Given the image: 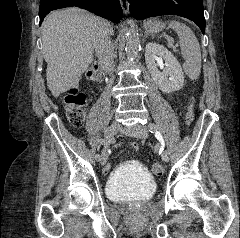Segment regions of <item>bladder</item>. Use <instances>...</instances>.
I'll use <instances>...</instances> for the list:
<instances>
[{"mask_svg":"<svg viewBox=\"0 0 240 238\" xmlns=\"http://www.w3.org/2000/svg\"><path fill=\"white\" fill-rule=\"evenodd\" d=\"M155 190L154 178L135 161H127L118 166L106 184L108 197L117 202L144 201L151 198Z\"/></svg>","mask_w":240,"mask_h":238,"instance_id":"31cf9c89","label":"bladder"}]
</instances>
